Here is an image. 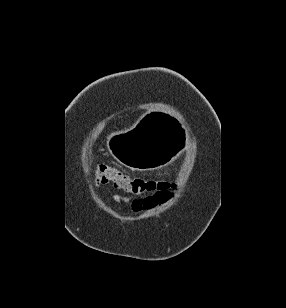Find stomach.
<instances>
[{
	"instance_id": "0dacf381",
	"label": "stomach",
	"mask_w": 286,
	"mask_h": 308,
	"mask_svg": "<svg viewBox=\"0 0 286 308\" xmlns=\"http://www.w3.org/2000/svg\"><path fill=\"white\" fill-rule=\"evenodd\" d=\"M176 112H149L148 118H131L133 130H110L109 151L122 164L133 170L153 173L163 164H171V153H185L190 142L176 137L184 132L182 118Z\"/></svg>"
}]
</instances>
